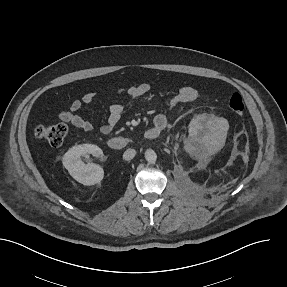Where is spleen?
Returning <instances> with one entry per match:
<instances>
[{
  "label": "spleen",
  "instance_id": "1",
  "mask_svg": "<svg viewBox=\"0 0 287 287\" xmlns=\"http://www.w3.org/2000/svg\"><path fill=\"white\" fill-rule=\"evenodd\" d=\"M219 142H220V140L217 141V142H215L213 145H214V146H217V145L219 144Z\"/></svg>",
  "mask_w": 287,
  "mask_h": 287
}]
</instances>
